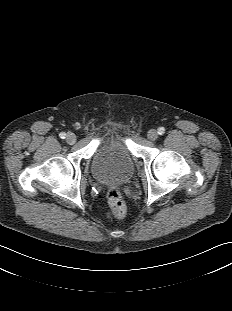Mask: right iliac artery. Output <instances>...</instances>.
<instances>
[{"instance_id":"obj_1","label":"right iliac artery","mask_w":232,"mask_h":311,"mask_svg":"<svg viewBox=\"0 0 232 311\" xmlns=\"http://www.w3.org/2000/svg\"><path fill=\"white\" fill-rule=\"evenodd\" d=\"M59 136H60L61 139H65L66 138V134L64 132H61L59 134Z\"/></svg>"}]
</instances>
